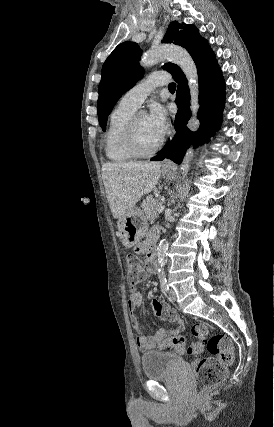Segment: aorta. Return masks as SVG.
<instances>
[{
  "instance_id": "762f6f07",
  "label": "aorta",
  "mask_w": 274,
  "mask_h": 427,
  "mask_svg": "<svg viewBox=\"0 0 274 427\" xmlns=\"http://www.w3.org/2000/svg\"><path fill=\"white\" fill-rule=\"evenodd\" d=\"M167 58H170L173 63L177 64L185 74L190 90V110L192 113L191 119L188 122V127L191 131L198 130L200 122L197 118L200 108L199 104V83L198 72L196 65L190 54L182 47L179 46H159L157 48L148 50L141 58L140 65L143 68H149ZM194 155L193 146H191L186 153V156L181 163L180 169L182 171L183 179L186 177L192 157ZM168 242L163 239L157 247L158 264L161 276L164 277L163 267L167 262Z\"/></svg>"
}]
</instances>
